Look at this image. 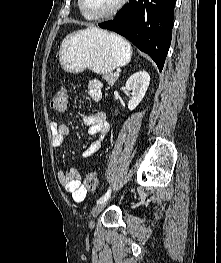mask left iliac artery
<instances>
[{
  "label": "left iliac artery",
  "mask_w": 221,
  "mask_h": 263,
  "mask_svg": "<svg viewBox=\"0 0 221 263\" xmlns=\"http://www.w3.org/2000/svg\"><path fill=\"white\" fill-rule=\"evenodd\" d=\"M110 194L111 189H108V191L99 200H97V204L105 202L110 197Z\"/></svg>",
  "instance_id": "obj_1"
}]
</instances>
